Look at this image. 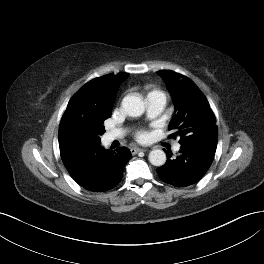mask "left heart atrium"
<instances>
[{"label": "left heart atrium", "instance_id": "obj_1", "mask_svg": "<svg viewBox=\"0 0 264 264\" xmlns=\"http://www.w3.org/2000/svg\"><path fill=\"white\" fill-rule=\"evenodd\" d=\"M136 137L140 142H146L148 140V134L146 131H139Z\"/></svg>", "mask_w": 264, "mask_h": 264}]
</instances>
